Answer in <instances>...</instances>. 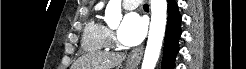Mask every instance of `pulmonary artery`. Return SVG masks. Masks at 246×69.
Segmentation results:
<instances>
[{"instance_id":"e3ab8cb5","label":"pulmonary artery","mask_w":246,"mask_h":69,"mask_svg":"<svg viewBox=\"0 0 246 69\" xmlns=\"http://www.w3.org/2000/svg\"><path fill=\"white\" fill-rule=\"evenodd\" d=\"M141 3L139 0H125L123 2L124 7L129 10L140 7Z\"/></svg>"}]
</instances>
